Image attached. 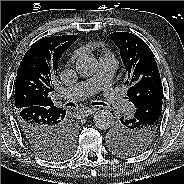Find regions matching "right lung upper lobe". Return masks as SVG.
Returning a JSON list of instances; mask_svg holds the SVG:
<instances>
[{"label": "right lung upper lobe", "instance_id": "right-lung-upper-lobe-1", "mask_svg": "<svg viewBox=\"0 0 184 184\" xmlns=\"http://www.w3.org/2000/svg\"><path fill=\"white\" fill-rule=\"evenodd\" d=\"M77 38L76 35L45 37L31 46L17 70L14 91L17 110L29 106H53L50 92L58 75V62Z\"/></svg>", "mask_w": 184, "mask_h": 184}]
</instances>
